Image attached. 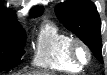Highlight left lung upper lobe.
Returning <instances> with one entry per match:
<instances>
[{
    "mask_svg": "<svg viewBox=\"0 0 107 75\" xmlns=\"http://www.w3.org/2000/svg\"><path fill=\"white\" fill-rule=\"evenodd\" d=\"M55 12L63 25L88 45L103 63L101 22L95 5L90 0H71L58 4Z\"/></svg>",
    "mask_w": 107,
    "mask_h": 75,
    "instance_id": "5c2ea615",
    "label": "left lung upper lobe"
}]
</instances>
